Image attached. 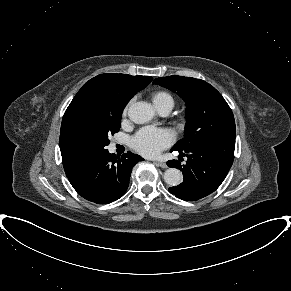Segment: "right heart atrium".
<instances>
[{"mask_svg":"<svg viewBox=\"0 0 291 291\" xmlns=\"http://www.w3.org/2000/svg\"><path fill=\"white\" fill-rule=\"evenodd\" d=\"M128 107H129V104L128 105H126V107L124 108V110H123V117H125L126 116V114H127V111H128Z\"/></svg>","mask_w":291,"mask_h":291,"instance_id":"right-heart-atrium-1","label":"right heart atrium"}]
</instances>
